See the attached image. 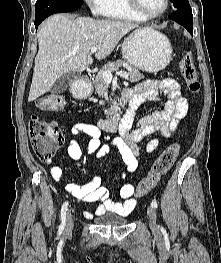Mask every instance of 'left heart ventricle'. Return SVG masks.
Returning a JSON list of instances; mask_svg holds the SVG:
<instances>
[{
	"mask_svg": "<svg viewBox=\"0 0 221 263\" xmlns=\"http://www.w3.org/2000/svg\"><path fill=\"white\" fill-rule=\"evenodd\" d=\"M143 11L147 14L160 12L165 5V0H139Z\"/></svg>",
	"mask_w": 221,
	"mask_h": 263,
	"instance_id": "1",
	"label": "left heart ventricle"
}]
</instances>
